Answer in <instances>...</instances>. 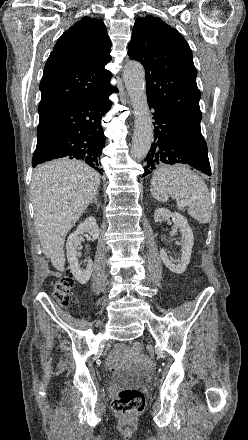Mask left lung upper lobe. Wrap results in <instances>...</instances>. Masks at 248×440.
<instances>
[{
  "mask_svg": "<svg viewBox=\"0 0 248 440\" xmlns=\"http://www.w3.org/2000/svg\"><path fill=\"white\" fill-rule=\"evenodd\" d=\"M128 55L145 68L148 101L201 130L197 71L190 47L181 34L158 17L139 18L132 30Z\"/></svg>",
  "mask_w": 248,
  "mask_h": 440,
  "instance_id": "5c2ea615",
  "label": "left lung upper lobe"
}]
</instances>
